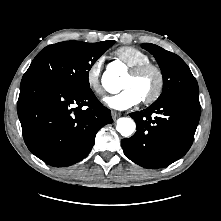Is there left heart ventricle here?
<instances>
[{"label": "left heart ventricle", "mask_w": 221, "mask_h": 221, "mask_svg": "<svg viewBox=\"0 0 221 221\" xmlns=\"http://www.w3.org/2000/svg\"><path fill=\"white\" fill-rule=\"evenodd\" d=\"M156 84V75L153 71H148L140 76H133L129 72L124 76L121 88L132 87L143 99L148 96Z\"/></svg>", "instance_id": "obj_1"}]
</instances>
